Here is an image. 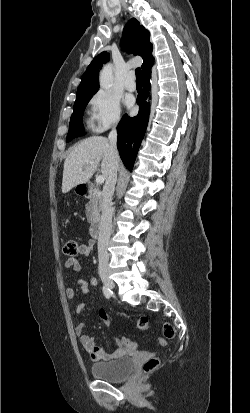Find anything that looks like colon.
<instances>
[{
	"instance_id": "colon-1",
	"label": "colon",
	"mask_w": 250,
	"mask_h": 413,
	"mask_svg": "<svg viewBox=\"0 0 250 413\" xmlns=\"http://www.w3.org/2000/svg\"><path fill=\"white\" fill-rule=\"evenodd\" d=\"M79 249V244L75 239H68L64 246H63V252L68 255V256H75L78 253ZM100 317L103 320V324L107 326V328H112V323H110V318L107 316L104 310L100 311ZM137 326L140 330H146L149 326L148 319L146 317H141L138 320ZM162 330H163V335L164 338L167 340H173L176 336V331L175 328L167 323L164 322L162 324ZM119 342L122 343L123 346H125L126 349H130L132 354H137L138 349L143 348V343L141 342H135L132 337H126V336H119ZM164 338L159 339V343L162 346L166 345V341ZM160 365V360L156 357H151L147 359L143 366H142V374L143 375H148L151 372L155 371Z\"/></svg>"
}]
</instances>
